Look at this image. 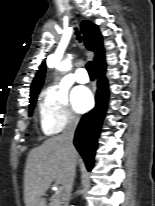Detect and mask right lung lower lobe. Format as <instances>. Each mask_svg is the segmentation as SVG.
Wrapping results in <instances>:
<instances>
[{
    "label": "right lung lower lobe",
    "instance_id": "1",
    "mask_svg": "<svg viewBox=\"0 0 155 206\" xmlns=\"http://www.w3.org/2000/svg\"><path fill=\"white\" fill-rule=\"evenodd\" d=\"M105 70V63L97 68L98 81L95 97L96 105L94 109L82 117L75 132L74 145L83 157L88 170H91L94 165V156L98 144L97 139L100 134L109 97Z\"/></svg>",
    "mask_w": 155,
    "mask_h": 206
}]
</instances>
